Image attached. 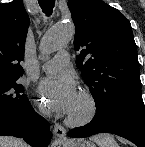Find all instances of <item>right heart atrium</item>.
<instances>
[{"label":"right heart atrium","instance_id":"1","mask_svg":"<svg viewBox=\"0 0 145 147\" xmlns=\"http://www.w3.org/2000/svg\"><path fill=\"white\" fill-rule=\"evenodd\" d=\"M37 112H38L40 115H44V114H45V110H44L43 107L40 106V105L37 107Z\"/></svg>","mask_w":145,"mask_h":147}]
</instances>
